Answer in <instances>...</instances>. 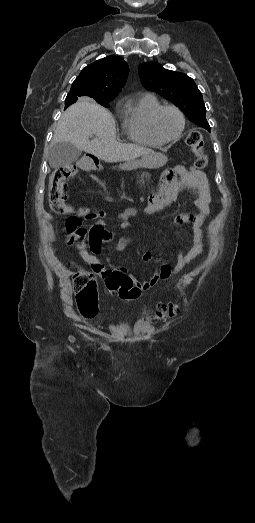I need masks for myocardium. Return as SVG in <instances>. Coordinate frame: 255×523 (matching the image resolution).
I'll return each mask as SVG.
<instances>
[{
  "label": "myocardium",
  "instance_id": "1",
  "mask_svg": "<svg viewBox=\"0 0 255 523\" xmlns=\"http://www.w3.org/2000/svg\"><path fill=\"white\" fill-rule=\"evenodd\" d=\"M165 109H173L180 117V120H181V127H180V131L179 133L173 137V138H170V139H166V138H163L157 131V128H156V120L159 116V114L165 110ZM149 127H150V130H151V133L152 135L158 139L160 142L162 143H171V142H175L177 141L178 139H180V137L182 136L184 130H185V127H186V119H185V115L184 113L182 112V110L180 108H178L177 106L175 105H172V104H162L160 105L158 108H156L154 110V112L152 113L151 117H150V121H149Z\"/></svg>",
  "mask_w": 255,
  "mask_h": 523
}]
</instances>
